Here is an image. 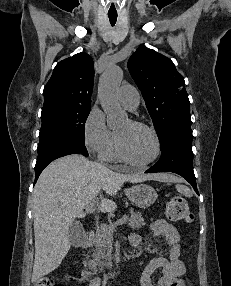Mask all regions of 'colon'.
<instances>
[{
  "mask_svg": "<svg viewBox=\"0 0 231 286\" xmlns=\"http://www.w3.org/2000/svg\"><path fill=\"white\" fill-rule=\"evenodd\" d=\"M165 212L169 219L175 221L191 222L193 214L186 200L179 196L168 199L165 205ZM34 286H59L53 279L43 277L36 281Z\"/></svg>",
  "mask_w": 231,
  "mask_h": 286,
  "instance_id": "colon-1",
  "label": "colon"
}]
</instances>
